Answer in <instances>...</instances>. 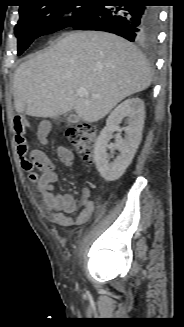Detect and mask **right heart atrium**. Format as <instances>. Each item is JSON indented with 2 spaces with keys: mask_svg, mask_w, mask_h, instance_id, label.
Returning <instances> with one entry per match:
<instances>
[{
  "mask_svg": "<svg viewBox=\"0 0 184 327\" xmlns=\"http://www.w3.org/2000/svg\"><path fill=\"white\" fill-rule=\"evenodd\" d=\"M71 23V18L70 17H64L62 20L63 25H69Z\"/></svg>",
  "mask_w": 184,
  "mask_h": 327,
  "instance_id": "right-heart-atrium-1",
  "label": "right heart atrium"
}]
</instances>
